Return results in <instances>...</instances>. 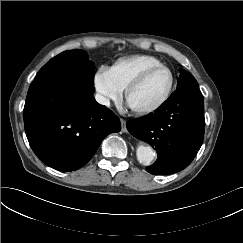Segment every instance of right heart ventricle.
<instances>
[{
    "label": "right heart ventricle",
    "instance_id": "e07e8e85",
    "mask_svg": "<svg viewBox=\"0 0 243 243\" xmlns=\"http://www.w3.org/2000/svg\"><path fill=\"white\" fill-rule=\"evenodd\" d=\"M161 64L152 56L134 55L118 59L110 68V74L115 84L122 91L144 69Z\"/></svg>",
    "mask_w": 243,
    "mask_h": 243
}]
</instances>
